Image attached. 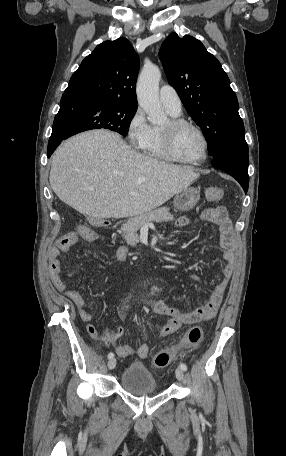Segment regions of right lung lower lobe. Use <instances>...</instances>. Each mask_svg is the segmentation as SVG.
Returning <instances> with one entry per match:
<instances>
[{"label":"right lung lower lobe","instance_id":"right-lung-lower-lobe-1","mask_svg":"<svg viewBox=\"0 0 286 456\" xmlns=\"http://www.w3.org/2000/svg\"><path fill=\"white\" fill-rule=\"evenodd\" d=\"M78 96L75 95H63L60 101V110L57 113L54 123L51 137L48 143V157L54 152L56 147L64 139L60 136V131L64 128L67 120L69 119L72 105L75 103Z\"/></svg>","mask_w":286,"mask_h":456}]
</instances>
